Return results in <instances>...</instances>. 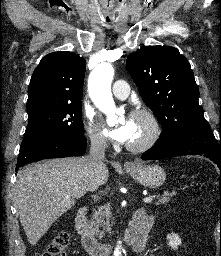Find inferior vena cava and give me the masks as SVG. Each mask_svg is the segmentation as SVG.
I'll list each match as a JSON object with an SVG mask.
<instances>
[{
    "instance_id": "inferior-vena-cava-1",
    "label": "inferior vena cava",
    "mask_w": 221,
    "mask_h": 256,
    "mask_svg": "<svg viewBox=\"0 0 221 256\" xmlns=\"http://www.w3.org/2000/svg\"><path fill=\"white\" fill-rule=\"evenodd\" d=\"M91 146L89 155L86 157V167L89 171V182L92 191L98 189L97 180L105 165L103 163L105 157V149L107 147L106 139L102 135H92L90 137Z\"/></svg>"
}]
</instances>
